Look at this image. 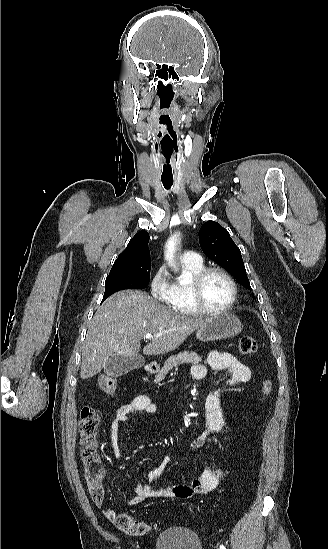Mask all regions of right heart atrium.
I'll return each mask as SVG.
<instances>
[{"mask_svg": "<svg viewBox=\"0 0 328 549\" xmlns=\"http://www.w3.org/2000/svg\"><path fill=\"white\" fill-rule=\"evenodd\" d=\"M169 288L168 272L164 264L153 268L149 278V303H162Z\"/></svg>", "mask_w": 328, "mask_h": 549, "instance_id": "obj_1", "label": "right heart atrium"}]
</instances>
